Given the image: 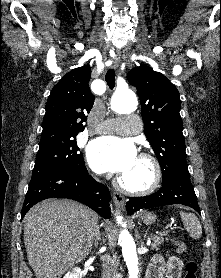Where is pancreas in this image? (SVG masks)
<instances>
[{
    "label": "pancreas",
    "instance_id": "obj_1",
    "mask_svg": "<svg viewBox=\"0 0 221 278\" xmlns=\"http://www.w3.org/2000/svg\"><path fill=\"white\" fill-rule=\"evenodd\" d=\"M151 239L153 240V242L151 244V248L153 250H158L160 245H162L164 242L163 235H155V236H152Z\"/></svg>",
    "mask_w": 221,
    "mask_h": 278
}]
</instances>
